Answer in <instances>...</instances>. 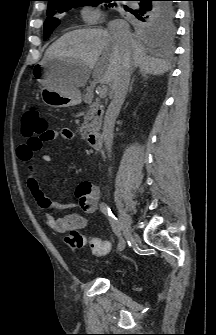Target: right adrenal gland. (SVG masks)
Listing matches in <instances>:
<instances>
[{
  "mask_svg": "<svg viewBox=\"0 0 216 335\" xmlns=\"http://www.w3.org/2000/svg\"><path fill=\"white\" fill-rule=\"evenodd\" d=\"M143 79H147L146 75L142 74ZM133 83H134V78L131 80L130 86H129V93H131L132 89H133Z\"/></svg>",
  "mask_w": 216,
  "mask_h": 335,
  "instance_id": "right-adrenal-gland-1",
  "label": "right adrenal gland"
}]
</instances>
